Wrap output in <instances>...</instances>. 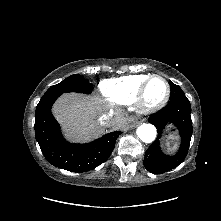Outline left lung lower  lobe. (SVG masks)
Returning <instances> with one entry per match:
<instances>
[{
    "label": "left lung lower lobe",
    "mask_w": 221,
    "mask_h": 221,
    "mask_svg": "<svg viewBox=\"0 0 221 221\" xmlns=\"http://www.w3.org/2000/svg\"><path fill=\"white\" fill-rule=\"evenodd\" d=\"M191 106L187 97L175 98L158 112L152 114L148 121L157 128L158 137L146 150L144 158L145 168L153 174L167 172L180 165L189 149L192 136ZM178 130L181 137V146L174 156L162 153L159 139L167 128Z\"/></svg>",
    "instance_id": "1"
}]
</instances>
